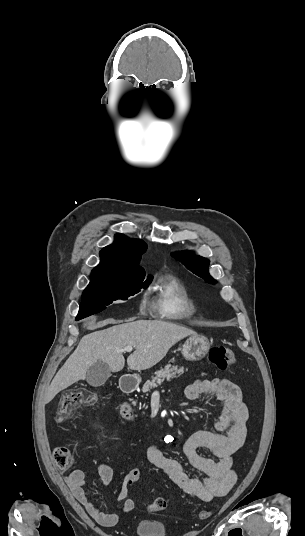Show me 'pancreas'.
Masks as SVG:
<instances>
[{"mask_svg": "<svg viewBox=\"0 0 305 536\" xmlns=\"http://www.w3.org/2000/svg\"><path fill=\"white\" fill-rule=\"evenodd\" d=\"M156 376H152L151 380H147L145 382L142 392H150L152 388H157V384H162L164 380H167V382H170L172 378H179L181 374H184V368H179V366H171V364H168V366H165V368H161V370H157L155 372Z\"/></svg>", "mask_w": 305, "mask_h": 536, "instance_id": "obj_1", "label": "pancreas"}]
</instances>
